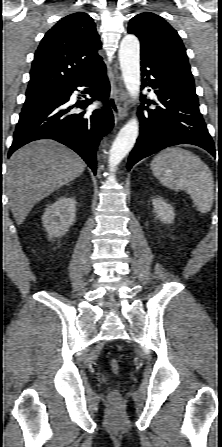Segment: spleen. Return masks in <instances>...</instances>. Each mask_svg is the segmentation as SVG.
Here are the masks:
<instances>
[{
  "label": "spleen",
  "instance_id": "1",
  "mask_svg": "<svg viewBox=\"0 0 222 447\" xmlns=\"http://www.w3.org/2000/svg\"><path fill=\"white\" fill-rule=\"evenodd\" d=\"M151 169L165 187L186 191L199 212L211 210L214 199L212 173L197 155L179 147L167 148L153 158Z\"/></svg>",
  "mask_w": 222,
  "mask_h": 447
}]
</instances>
